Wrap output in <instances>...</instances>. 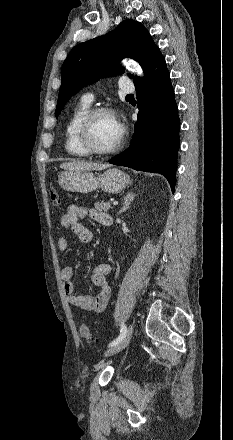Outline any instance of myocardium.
<instances>
[{
  "mask_svg": "<svg viewBox=\"0 0 233 440\" xmlns=\"http://www.w3.org/2000/svg\"><path fill=\"white\" fill-rule=\"evenodd\" d=\"M103 114L111 115L115 119H117V116H116V113L114 110L107 108V107H97V108L90 109L84 115V117L82 118V120L78 126V129H77L78 143L88 154L98 155V156L111 155V154L118 152L124 145L126 133H125V129L120 124H119L120 129H121L120 137L114 146H112L109 149L102 150V149L96 148L92 144V142L90 141V129H91L92 122L94 121V119L97 116L103 115Z\"/></svg>",
  "mask_w": 233,
  "mask_h": 440,
  "instance_id": "myocardium-1",
  "label": "myocardium"
}]
</instances>
